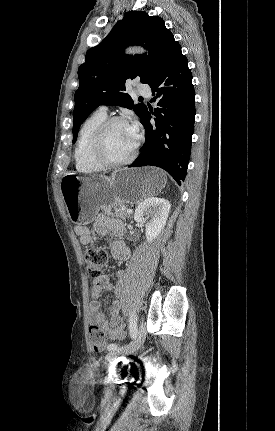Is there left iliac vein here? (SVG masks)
I'll return each instance as SVG.
<instances>
[{
	"instance_id": "obj_1",
	"label": "left iliac vein",
	"mask_w": 275,
	"mask_h": 431,
	"mask_svg": "<svg viewBox=\"0 0 275 431\" xmlns=\"http://www.w3.org/2000/svg\"><path fill=\"white\" fill-rule=\"evenodd\" d=\"M145 336H146V328H145V325L142 321L140 323V326H139V329L137 331V335H136V338L134 339V341L131 342L130 344L124 346V347L110 351L105 357V362L107 364H111L119 356L129 355V354L134 353L142 345V343L145 339Z\"/></svg>"
}]
</instances>
